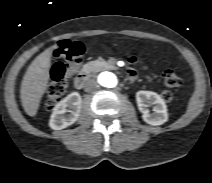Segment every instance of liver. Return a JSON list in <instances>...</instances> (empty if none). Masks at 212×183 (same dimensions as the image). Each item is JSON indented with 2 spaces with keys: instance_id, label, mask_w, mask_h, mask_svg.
Returning a JSON list of instances; mask_svg holds the SVG:
<instances>
[{
  "instance_id": "liver-1",
  "label": "liver",
  "mask_w": 212,
  "mask_h": 183,
  "mask_svg": "<svg viewBox=\"0 0 212 183\" xmlns=\"http://www.w3.org/2000/svg\"><path fill=\"white\" fill-rule=\"evenodd\" d=\"M54 45L38 55L28 67L21 83V103L25 112L33 117L36 115L40 101L47 90L50 79V57Z\"/></svg>"
}]
</instances>
